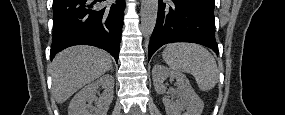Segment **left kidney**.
Wrapping results in <instances>:
<instances>
[{"label":"left kidney","instance_id":"5707ae66","mask_svg":"<svg viewBox=\"0 0 285 115\" xmlns=\"http://www.w3.org/2000/svg\"><path fill=\"white\" fill-rule=\"evenodd\" d=\"M152 78L155 90L159 94L166 93L167 87L164 84L166 78L176 80L177 94L180 96L181 101L176 104L172 99L164 96L163 103L167 115H180L184 110H186L185 115H201L204 103L195 93L183 73L175 72L166 66L157 64L152 69Z\"/></svg>","mask_w":285,"mask_h":115}]
</instances>
